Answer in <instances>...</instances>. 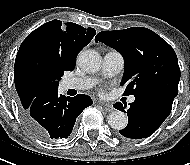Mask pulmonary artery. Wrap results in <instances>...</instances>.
I'll use <instances>...</instances> for the list:
<instances>
[{"mask_svg": "<svg viewBox=\"0 0 190 165\" xmlns=\"http://www.w3.org/2000/svg\"><path fill=\"white\" fill-rule=\"evenodd\" d=\"M124 67L123 56L117 51H108L103 56L101 73L105 77H113L117 75ZM97 83V79L93 77H74L64 81L65 89L87 90L92 88ZM135 101L132 95L129 97V102Z\"/></svg>", "mask_w": 190, "mask_h": 165, "instance_id": "1", "label": "pulmonary artery"}]
</instances>
